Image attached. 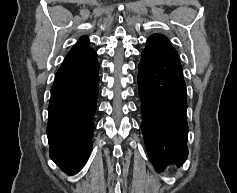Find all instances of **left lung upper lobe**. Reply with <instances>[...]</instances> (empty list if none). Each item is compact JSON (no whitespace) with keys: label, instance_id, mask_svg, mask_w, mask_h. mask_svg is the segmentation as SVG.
I'll list each match as a JSON object with an SVG mask.
<instances>
[{"label":"left lung upper lobe","instance_id":"1","mask_svg":"<svg viewBox=\"0 0 237 193\" xmlns=\"http://www.w3.org/2000/svg\"><path fill=\"white\" fill-rule=\"evenodd\" d=\"M148 39H153V40H156L158 42H161L163 44H167L169 46H172L168 40L167 37H165L164 35H160V34H153L151 35Z\"/></svg>","mask_w":237,"mask_h":193}]
</instances>
